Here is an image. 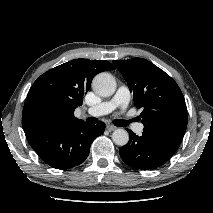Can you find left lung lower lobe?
Returning a JSON list of instances; mask_svg holds the SVG:
<instances>
[{
  "mask_svg": "<svg viewBox=\"0 0 213 213\" xmlns=\"http://www.w3.org/2000/svg\"><path fill=\"white\" fill-rule=\"evenodd\" d=\"M128 130V129H127ZM129 131V142L120 148L122 160L135 169L148 170L162 166L178 149V144L146 132L142 136Z\"/></svg>",
  "mask_w": 213,
  "mask_h": 213,
  "instance_id": "left-lung-lower-lobe-1",
  "label": "left lung lower lobe"
}]
</instances>
